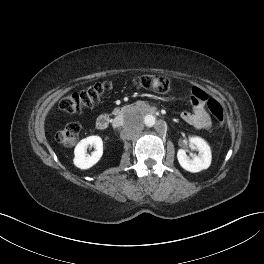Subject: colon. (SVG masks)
<instances>
[{"instance_id":"obj_1","label":"colon","mask_w":264,"mask_h":264,"mask_svg":"<svg viewBox=\"0 0 264 264\" xmlns=\"http://www.w3.org/2000/svg\"><path fill=\"white\" fill-rule=\"evenodd\" d=\"M134 84L161 94L167 93L171 90L170 81L165 77L156 75L137 77L134 79ZM111 87L112 84L110 82L97 83L85 90L65 96L60 101L59 107L62 111L69 114L80 113L81 111L92 108L96 105ZM207 108L218 123H224L225 113L219 102L211 99L207 102ZM79 131L80 128L77 124L70 123L57 132L56 139L63 146L71 147L78 141Z\"/></svg>"}]
</instances>
